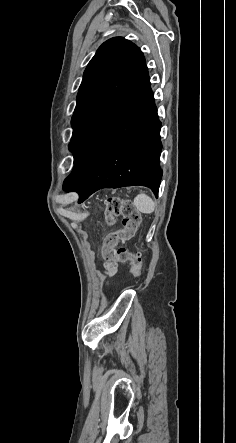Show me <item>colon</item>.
Segmentation results:
<instances>
[{
	"mask_svg": "<svg viewBox=\"0 0 236 443\" xmlns=\"http://www.w3.org/2000/svg\"><path fill=\"white\" fill-rule=\"evenodd\" d=\"M105 215L107 223L111 226L116 223L119 216H122L123 228L105 236L102 247L103 259L106 262L129 263L131 274L135 277L140 276L142 265L140 254L131 253L120 245L132 238L139 227L141 217L135 204L130 200L109 198Z\"/></svg>",
	"mask_w": 236,
	"mask_h": 443,
	"instance_id": "5ec220e1",
	"label": "colon"
}]
</instances>
